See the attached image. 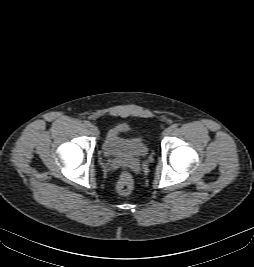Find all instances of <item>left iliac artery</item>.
<instances>
[{"label":"left iliac artery","instance_id":"left-iliac-artery-1","mask_svg":"<svg viewBox=\"0 0 254 267\" xmlns=\"http://www.w3.org/2000/svg\"><path fill=\"white\" fill-rule=\"evenodd\" d=\"M171 127L172 129H176L178 127V124H173Z\"/></svg>","mask_w":254,"mask_h":267}]
</instances>
